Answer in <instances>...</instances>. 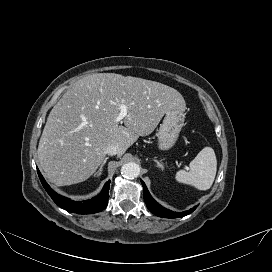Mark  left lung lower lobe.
<instances>
[{
	"label": "left lung lower lobe",
	"mask_w": 272,
	"mask_h": 272,
	"mask_svg": "<svg viewBox=\"0 0 272 272\" xmlns=\"http://www.w3.org/2000/svg\"><path fill=\"white\" fill-rule=\"evenodd\" d=\"M142 186H143V192H144V200L147 205V208L155 215L163 218H179L184 217L190 213H192L196 207L191 208L188 211L177 213L170 211L164 207H162L160 204H158L150 195L145 183L141 180Z\"/></svg>",
	"instance_id": "1"
}]
</instances>
